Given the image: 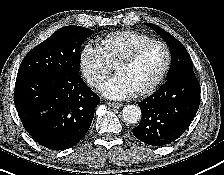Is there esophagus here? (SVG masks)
<instances>
[{"label": "esophagus", "mask_w": 224, "mask_h": 175, "mask_svg": "<svg viewBox=\"0 0 224 175\" xmlns=\"http://www.w3.org/2000/svg\"><path fill=\"white\" fill-rule=\"evenodd\" d=\"M107 104L113 108H120L122 106V104H120V103L111 102V101H108Z\"/></svg>", "instance_id": "34e87169"}]
</instances>
